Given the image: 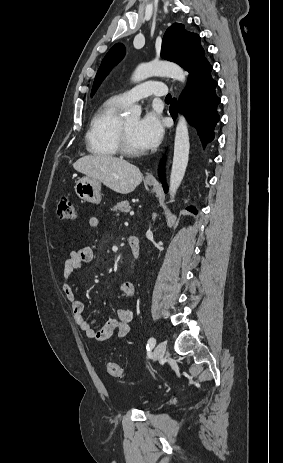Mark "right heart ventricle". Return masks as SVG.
<instances>
[{
  "mask_svg": "<svg viewBox=\"0 0 283 463\" xmlns=\"http://www.w3.org/2000/svg\"><path fill=\"white\" fill-rule=\"evenodd\" d=\"M125 106L118 96H114L95 111L86 134V146L91 154L113 157L119 153L118 130Z\"/></svg>",
  "mask_w": 283,
  "mask_h": 463,
  "instance_id": "right-heart-ventricle-1",
  "label": "right heart ventricle"
}]
</instances>
